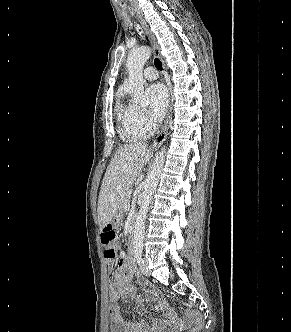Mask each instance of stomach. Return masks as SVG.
<instances>
[{"instance_id": "stomach-1", "label": "stomach", "mask_w": 291, "mask_h": 332, "mask_svg": "<svg viewBox=\"0 0 291 332\" xmlns=\"http://www.w3.org/2000/svg\"><path fill=\"white\" fill-rule=\"evenodd\" d=\"M123 220V214L121 211H119L116 216L112 219L111 224L115 227L118 228L121 226Z\"/></svg>"}]
</instances>
